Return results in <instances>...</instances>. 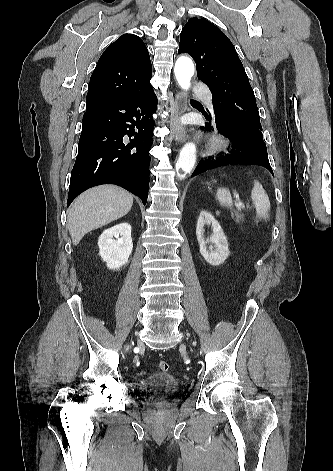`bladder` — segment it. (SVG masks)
Wrapping results in <instances>:
<instances>
[{
	"label": "bladder",
	"instance_id": "obj_1",
	"mask_svg": "<svg viewBox=\"0 0 333 471\" xmlns=\"http://www.w3.org/2000/svg\"><path fill=\"white\" fill-rule=\"evenodd\" d=\"M181 386L180 380L168 372L152 373L143 379L137 387V392L145 397H170Z\"/></svg>",
	"mask_w": 333,
	"mask_h": 471
}]
</instances>
